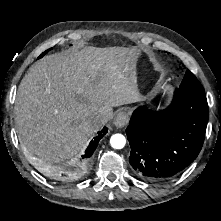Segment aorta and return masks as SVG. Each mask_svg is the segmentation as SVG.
I'll return each mask as SVG.
<instances>
[{"mask_svg": "<svg viewBox=\"0 0 221 221\" xmlns=\"http://www.w3.org/2000/svg\"><path fill=\"white\" fill-rule=\"evenodd\" d=\"M110 144L114 149H122L126 144V139L122 134H114L110 138Z\"/></svg>", "mask_w": 221, "mask_h": 221, "instance_id": "762f6f07", "label": "aorta"}]
</instances>
